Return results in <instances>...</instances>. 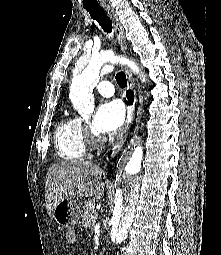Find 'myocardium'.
Instances as JSON below:
<instances>
[{"mask_svg": "<svg viewBox=\"0 0 221 255\" xmlns=\"http://www.w3.org/2000/svg\"><path fill=\"white\" fill-rule=\"evenodd\" d=\"M88 140L93 145H97L98 143L101 142V139L92 131L88 132Z\"/></svg>", "mask_w": 221, "mask_h": 255, "instance_id": "1", "label": "myocardium"}]
</instances>
